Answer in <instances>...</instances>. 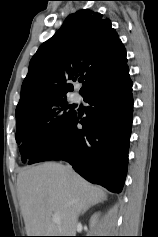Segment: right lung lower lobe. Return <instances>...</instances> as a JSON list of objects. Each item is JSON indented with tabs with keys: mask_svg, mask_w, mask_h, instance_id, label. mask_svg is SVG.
Instances as JSON below:
<instances>
[{
	"mask_svg": "<svg viewBox=\"0 0 158 237\" xmlns=\"http://www.w3.org/2000/svg\"><path fill=\"white\" fill-rule=\"evenodd\" d=\"M83 98L90 104L87 116L79 119L75 112L28 164L63 159L88 181L119 193L127 172L133 111L127 64L91 86Z\"/></svg>",
	"mask_w": 158,
	"mask_h": 237,
	"instance_id": "right-lung-lower-lobe-1",
	"label": "right lung lower lobe"
}]
</instances>
